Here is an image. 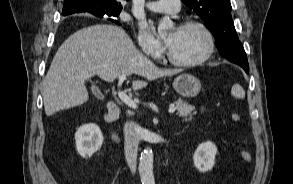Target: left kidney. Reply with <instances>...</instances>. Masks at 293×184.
<instances>
[{"label": "left kidney", "mask_w": 293, "mask_h": 184, "mask_svg": "<svg viewBox=\"0 0 293 184\" xmlns=\"http://www.w3.org/2000/svg\"><path fill=\"white\" fill-rule=\"evenodd\" d=\"M216 154L215 144L210 141L201 143L193 155L194 166L203 173L212 170Z\"/></svg>", "instance_id": "1"}]
</instances>
